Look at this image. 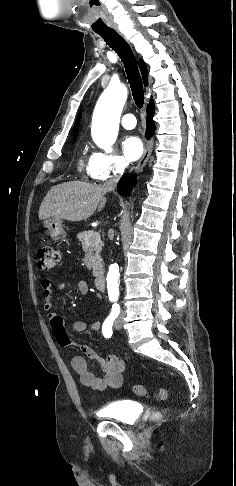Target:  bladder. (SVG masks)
Wrapping results in <instances>:
<instances>
[{
  "instance_id": "1",
  "label": "bladder",
  "mask_w": 236,
  "mask_h": 486,
  "mask_svg": "<svg viewBox=\"0 0 236 486\" xmlns=\"http://www.w3.org/2000/svg\"><path fill=\"white\" fill-rule=\"evenodd\" d=\"M139 414V405L133 401H115L107 404L100 411L102 417L132 423Z\"/></svg>"
}]
</instances>
